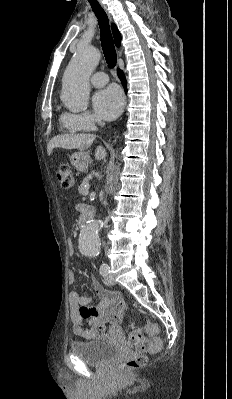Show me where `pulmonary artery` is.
Segmentation results:
<instances>
[{"label": "pulmonary artery", "instance_id": "obj_1", "mask_svg": "<svg viewBox=\"0 0 232 399\" xmlns=\"http://www.w3.org/2000/svg\"><path fill=\"white\" fill-rule=\"evenodd\" d=\"M92 83L94 85L93 90H102V84H108V77L106 73H103L102 69H97L94 77L92 78Z\"/></svg>", "mask_w": 232, "mask_h": 399}]
</instances>
